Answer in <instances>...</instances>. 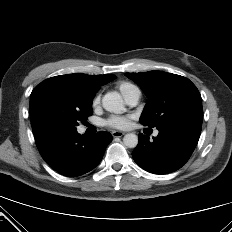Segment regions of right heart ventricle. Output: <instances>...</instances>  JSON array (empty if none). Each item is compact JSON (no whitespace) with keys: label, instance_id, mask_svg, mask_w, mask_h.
Here are the masks:
<instances>
[{"label":"right heart ventricle","instance_id":"1","mask_svg":"<svg viewBox=\"0 0 232 232\" xmlns=\"http://www.w3.org/2000/svg\"><path fill=\"white\" fill-rule=\"evenodd\" d=\"M117 88L122 94V96L125 98V100L133 94H135L136 92L140 91L136 85L128 81L119 82L117 84Z\"/></svg>","mask_w":232,"mask_h":232}]
</instances>
